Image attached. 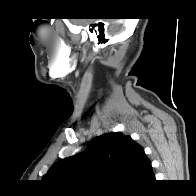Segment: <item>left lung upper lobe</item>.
<instances>
[{"label": "left lung upper lobe", "mask_w": 196, "mask_h": 196, "mask_svg": "<svg viewBox=\"0 0 196 196\" xmlns=\"http://www.w3.org/2000/svg\"><path fill=\"white\" fill-rule=\"evenodd\" d=\"M150 160L144 149L121 132L93 139L81 153L55 163L42 180L55 186H134Z\"/></svg>", "instance_id": "left-lung-upper-lobe-1"}]
</instances>
